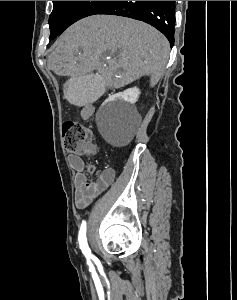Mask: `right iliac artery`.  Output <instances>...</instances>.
Segmentation results:
<instances>
[{
  "label": "right iliac artery",
  "instance_id": "right-iliac-artery-1",
  "mask_svg": "<svg viewBox=\"0 0 237 300\" xmlns=\"http://www.w3.org/2000/svg\"><path fill=\"white\" fill-rule=\"evenodd\" d=\"M78 241H79L80 249L82 250L83 254L86 256V258H92V259L95 258V256L91 254V250L87 243L85 221H83L81 225L79 235H78Z\"/></svg>",
  "mask_w": 237,
  "mask_h": 300
}]
</instances>
